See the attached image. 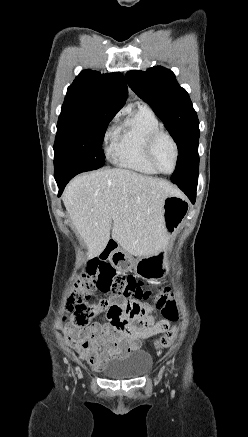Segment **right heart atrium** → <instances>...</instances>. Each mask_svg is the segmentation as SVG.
I'll return each instance as SVG.
<instances>
[{"label":"right heart atrium","mask_w":248,"mask_h":437,"mask_svg":"<svg viewBox=\"0 0 248 437\" xmlns=\"http://www.w3.org/2000/svg\"><path fill=\"white\" fill-rule=\"evenodd\" d=\"M117 117H115L113 119V121L109 124V126L106 128L105 132H104V136H103V141L106 144L109 140L113 139L115 136V132H116V126H115V121H116Z\"/></svg>","instance_id":"right-heart-atrium-1"}]
</instances>
